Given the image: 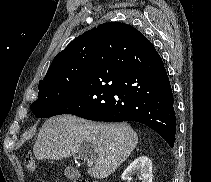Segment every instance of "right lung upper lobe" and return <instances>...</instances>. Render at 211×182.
I'll use <instances>...</instances> for the list:
<instances>
[{
	"mask_svg": "<svg viewBox=\"0 0 211 182\" xmlns=\"http://www.w3.org/2000/svg\"><path fill=\"white\" fill-rule=\"evenodd\" d=\"M112 24L125 27L126 33L135 44H141L146 39L141 32L125 23H104L75 38L63 51L58 53L44 78L53 76L62 70L73 69L75 66H85L92 62L102 28Z\"/></svg>",
	"mask_w": 211,
	"mask_h": 182,
	"instance_id": "cb5924a9",
	"label": "right lung upper lobe"
}]
</instances>
